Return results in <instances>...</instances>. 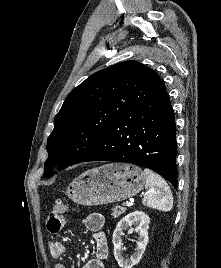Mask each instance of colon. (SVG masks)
<instances>
[{
	"instance_id": "colon-1",
	"label": "colon",
	"mask_w": 221,
	"mask_h": 268,
	"mask_svg": "<svg viewBox=\"0 0 221 268\" xmlns=\"http://www.w3.org/2000/svg\"><path fill=\"white\" fill-rule=\"evenodd\" d=\"M68 207V202L65 199H57L52 203V214L62 216Z\"/></svg>"
}]
</instances>
